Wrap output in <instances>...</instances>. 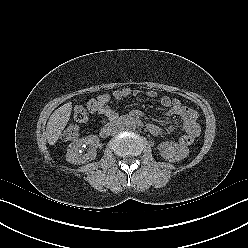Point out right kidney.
Here are the masks:
<instances>
[{
    "instance_id": "1",
    "label": "right kidney",
    "mask_w": 248,
    "mask_h": 248,
    "mask_svg": "<svg viewBox=\"0 0 248 248\" xmlns=\"http://www.w3.org/2000/svg\"><path fill=\"white\" fill-rule=\"evenodd\" d=\"M99 144V138L96 135H89L71 143L67 148L66 160L72 164H84L93 160L97 153L96 148ZM89 145L88 152L83 154L82 151Z\"/></svg>"
}]
</instances>
